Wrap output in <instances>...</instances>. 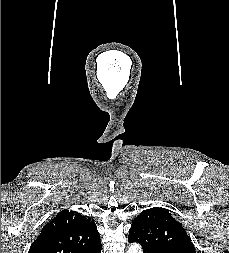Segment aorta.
I'll use <instances>...</instances> for the list:
<instances>
[{
    "label": "aorta",
    "instance_id": "1",
    "mask_svg": "<svg viewBox=\"0 0 229 253\" xmlns=\"http://www.w3.org/2000/svg\"><path fill=\"white\" fill-rule=\"evenodd\" d=\"M127 253H143L142 247L137 243H133L129 246Z\"/></svg>",
    "mask_w": 229,
    "mask_h": 253
}]
</instances>
